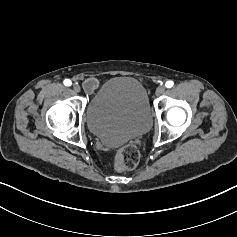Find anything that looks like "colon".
I'll list each match as a JSON object with an SVG mask.
<instances>
[{
	"label": "colon",
	"mask_w": 237,
	"mask_h": 237,
	"mask_svg": "<svg viewBox=\"0 0 237 237\" xmlns=\"http://www.w3.org/2000/svg\"><path fill=\"white\" fill-rule=\"evenodd\" d=\"M139 159L140 153L136 146L125 145L115 152L113 166L117 170H130L137 166Z\"/></svg>",
	"instance_id": "colon-1"
}]
</instances>
